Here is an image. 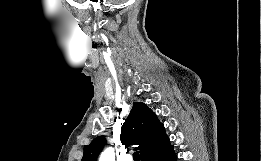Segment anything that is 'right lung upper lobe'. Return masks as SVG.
Segmentation results:
<instances>
[{
	"label": "right lung upper lobe",
	"instance_id": "1",
	"mask_svg": "<svg viewBox=\"0 0 261 161\" xmlns=\"http://www.w3.org/2000/svg\"><path fill=\"white\" fill-rule=\"evenodd\" d=\"M120 140L123 145H138L141 160L169 142L163 124L156 115L142 102H135L121 128ZM104 136L96 137L84 146L81 161H96L106 145Z\"/></svg>",
	"mask_w": 261,
	"mask_h": 161
}]
</instances>
